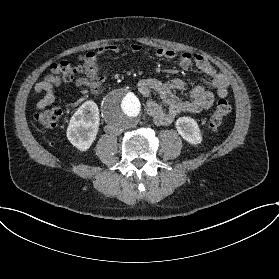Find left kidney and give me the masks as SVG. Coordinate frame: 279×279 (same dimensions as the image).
<instances>
[{
  "label": "left kidney",
  "instance_id": "1",
  "mask_svg": "<svg viewBox=\"0 0 279 279\" xmlns=\"http://www.w3.org/2000/svg\"><path fill=\"white\" fill-rule=\"evenodd\" d=\"M175 128L178 134L193 146L202 144L204 138L198 122L189 116L179 117L175 121Z\"/></svg>",
  "mask_w": 279,
  "mask_h": 279
}]
</instances>
